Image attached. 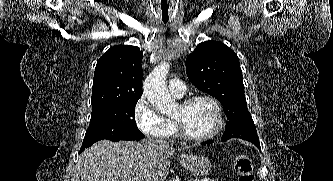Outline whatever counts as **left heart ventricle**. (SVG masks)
Returning a JSON list of instances; mask_svg holds the SVG:
<instances>
[{"label": "left heart ventricle", "instance_id": "1", "mask_svg": "<svg viewBox=\"0 0 333 181\" xmlns=\"http://www.w3.org/2000/svg\"><path fill=\"white\" fill-rule=\"evenodd\" d=\"M173 118L180 120L186 130L193 135H204L216 124V113L213 106L205 100H198L187 107L178 105Z\"/></svg>", "mask_w": 333, "mask_h": 181}]
</instances>
